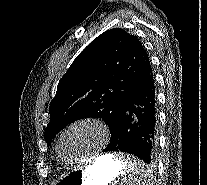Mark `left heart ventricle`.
I'll list each match as a JSON object with an SVG mask.
<instances>
[{
  "instance_id": "1",
  "label": "left heart ventricle",
  "mask_w": 207,
  "mask_h": 185,
  "mask_svg": "<svg viewBox=\"0 0 207 185\" xmlns=\"http://www.w3.org/2000/svg\"><path fill=\"white\" fill-rule=\"evenodd\" d=\"M104 140V136L95 125L80 124L65 135L62 149L69 159H80L98 151Z\"/></svg>"
}]
</instances>
